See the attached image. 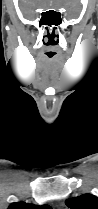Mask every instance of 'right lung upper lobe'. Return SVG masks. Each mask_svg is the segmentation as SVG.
Instances as JSON below:
<instances>
[{"instance_id":"1","label":"right lung upper lobe","mask_w":98,"mask_h":209,"mask_svg":"<svg viewBox=\"0 0 98 209\" xmlns=\"http://www.w3.org/2000/svg\"><path fill=\"white\" fill-rule=\"evenodd\" d=\"M8 209H52V208L48 205L38 206V205L28 204L24 202H17V203H12L8 207Z\"/></svg>"}]
</instances>
